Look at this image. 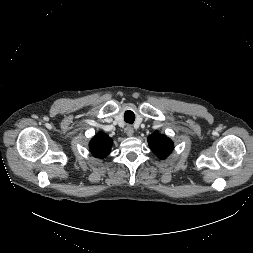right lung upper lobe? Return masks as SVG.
Returning a JSON list of instances; mask_svg holds the SVG:
<instances>
[{
  "instance_id": "cb5924a9",
  "label": "right lung upper lobe",
  "mask_w": 253,
  "mask_h": 253,
  "mask_svg": "<svg viewBox=\"0 0 253 253\" xmlns=\"http://www.w3.org/2000/svg\"><path fill=\"white\" fill-rule=\"evenodd\" d=\"M112 146V139L105 133H98L89 143L91 153L97 158L106 157Z\"/></svg>"
}]
</instances>
